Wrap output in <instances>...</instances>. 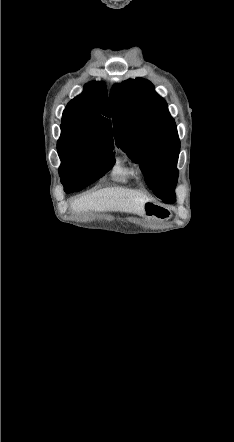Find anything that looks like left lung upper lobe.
I'll use <instances>...</instances> for the list:
<instances>
[{"instance_id":"left-lung-upper-lobe-1","label":"left lung upper lobe","mask_w":234,"mask_h":442,"mask_svg":"<svg viewBox=\"0 0 234 442\" xmlns=\"http://www.w3.org/2000/svg\"><path fill=\"white\" fill-rule=\"evenodd\" d=\"M109 107L116 145L139 163L154 194L174 203L180 141L165 100L152 83L137 78L114 86Z\"/></svg>"}]
</instances>
